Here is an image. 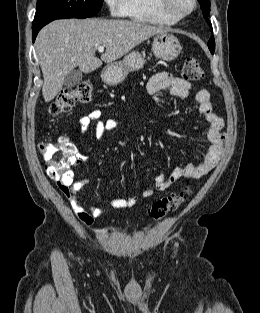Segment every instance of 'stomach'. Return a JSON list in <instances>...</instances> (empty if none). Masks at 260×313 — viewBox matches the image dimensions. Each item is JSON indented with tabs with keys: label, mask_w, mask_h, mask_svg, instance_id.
Wrapping results in <instances>:
<instances>
[{
	"label": "stomach",
	"mask_w": 260,
	"mask_h": 313,
	"mask_svg": "<svg viewBox=\"0 0 260 313\" xmlns=\"http://www.w3.org/2000/svg\"><path fill=\"white\" fill-rule=\"evenodd\" d=\"M152 51L157 58L171 61L178 57L181 45L177 37L168 32L158 33L152 44ZM145 60L142 55L133 51L122 61L108 64L101 74L102 80L109 85H117L125 80L129 72L141 69Z\"/></svg>",
	"instance_id": "obj_1"
}]
</instances>
